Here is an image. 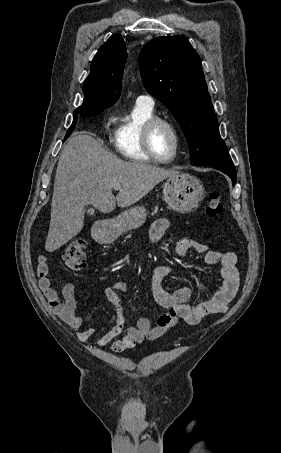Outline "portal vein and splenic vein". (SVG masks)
I'll return each instance as SVG.
<instances>
[{
  "label": "portal vein and splenic vein",
  "instance_id": "portal-vein-and-splenic-vein-1",
  "mask_svg": "<svg viewBox=\"0 0 281 453\" xmlns=\"http://www.w3.org/2000/svg\"><path fill=\"white\" fill-rule=\"evenodd\" d=\"M114 190H119V188H121V184H115V186H113Z\"/></svg>",
  "mask_w": 281,
  "mask_h": 453
}]
</instances>
